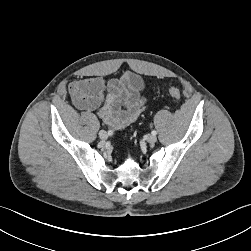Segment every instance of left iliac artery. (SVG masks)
Listing matches in <instances>:
<instances>
[{
  "label": "left iliac artery",
  "mask_w": 251,
  "mask_h": 251,
  "mask_svg": "<svg viewBox=\"0 0 251 251\" xmlns=\"http://www.w3.org/2000/svg\"><path fill=\"white\" fill-rule=\"evenodd\" d=\"M152 134H153V135H156V134H157V132H156L155 130H153V131H152Z\"/></svg>",
  "instance_id": "44dca946"
}]
</instances>
